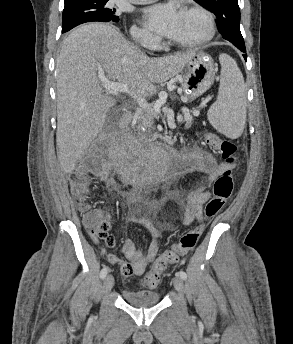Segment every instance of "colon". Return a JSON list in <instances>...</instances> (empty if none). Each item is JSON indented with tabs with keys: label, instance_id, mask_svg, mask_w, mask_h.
I'll return each instance as SVG.
<instances>
[{
	"label": "colon",
	"instance_id": "1",
	"mask_svg": "<svg viewBox=\"0 0 293 344\" xmlns=\"http://www.w3.org/2000/svg\"><path fill=\"white\" fill-rule=\"evenodd\" d=\"M205 143L224 159L226 164L233 165L236 161L237 148L231 141L221 139L214 133L205 134ZM234 189V178L231 169L225 170L215 181L213 196L205 205V218L216 216L231 197ZM73 194L77 202V209L83 217L84 224L94 237H105L109 234V224L103 213L93 208L89 203L87 179L77 177L73 184ZM204 231V225H198L184 234L178 243L164 251L154 263L152 269L142 278L147 288L153 289L159 285L161 273L168 265L175 263L180 257L195 248Z\"/></svg>",
	"mask_w": 293,
	"mask_h": 344
}]
</instances>
